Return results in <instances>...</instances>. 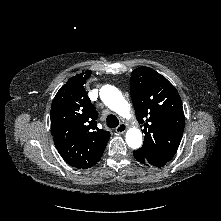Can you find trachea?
Returning a JSON list of instances; mask_svg holds the SVG:
<instances>
[{
  "label": "trachea",
  "instance_id": "3493384b",
  "mask_svg": "<svg viewBox=\"0 0 221 221\" xmlns=\"http://www.w3.org/2000/svg\"><path fill=\"white\" fill-rule=\"evenodd\" d=\"M106 124L109 128H115L119 124V120L115 115H109L106 119Z\"/></svg>",
  "mask_w": 221,
  "mask_h": 221
}]
</instances>
